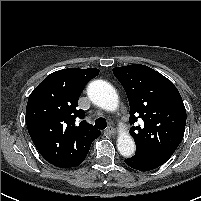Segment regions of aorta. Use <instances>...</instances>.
I'll list each match as a JSON object with an SVG mask.
<instances>
[{"instance_id": "762f6f07", "label": "aorta", "mask_w": 201, "mask_h": 201, "mask_svg": "<svg viewBox=\"0 0 201 201\" xmlns=\"http://www.w3.org/2000/svg\"><path fill=\"white\" fill-rule=\"evenodd\" d=\"M89 99L98 107L115 111L118 108V95L111 84L103 80L92 81L87 88ZM117 148L124 157H131L135 153V143L128 132H121L117 139Z\"/></svg>"}]
</instances>
